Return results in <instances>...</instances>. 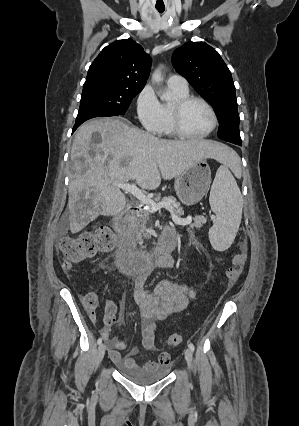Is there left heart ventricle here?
Returning a JSON list of instances; mask_svg holds the SVG:
<instances>
[{"mask_svg": "<svg viewBox=\"0 0 299 426\" xmlns=\"http://www.w3.org/2000/svg\"><path fill=\"white\" fill-rule=\"evenodd\" d=\"M183 126L192 134H203L212 125V117L209 110L199 102L189 104L183 112Z\"/></svg>", "mask_w": 299, "mask_h": 426, "instance_id": "obj_1", "label": "left heart ventricle"}]
</instances>
